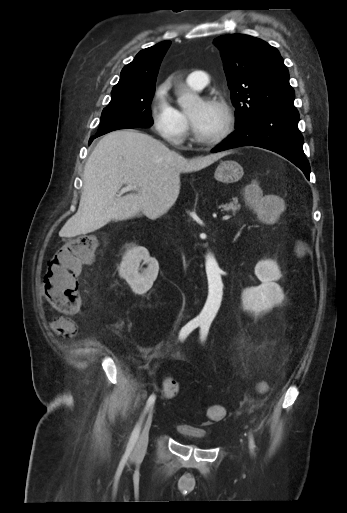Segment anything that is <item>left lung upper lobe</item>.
Segmentation results:
<instances>
[{
  "label": "left lung upper lobe",
  "mask_w": 347,
  "mask_h": 513,
  "mask_svg": "<svg viewBox=\"0 0 347 513\" xmlns=\"http://www.w3.org/2000/svg\"><path fill=\"white\" fill-rule=\"evenodd\" d=\"M214 43L224 62L236 126L264 112L296 110L288 69L276 48L244 34L222 35Z\"/></svg>",
  "instance_id": "obj_1"
}]
</instances>
